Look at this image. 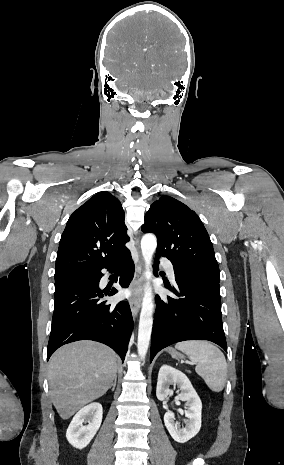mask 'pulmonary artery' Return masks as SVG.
<instances>
[{"mask_svg":"<svg viewBox=\"0 0 284 465\" xmlns=\"http://www.w3.org/2000/svg\"><path fill=\"white\" fill-rule=\"evenodd\" d=\"M162 260H165V257H162ZM168 276L170 277V279H174V272L172 269L168 270Z\"/></svg>","mask_w":284,"mask_h":465,"instance_id":"e3ab8cb5","label":"pulmonary artery"}]
</instances>
